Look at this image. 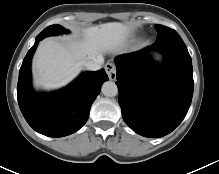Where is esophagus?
Masks as SVG:
<instances>
[{
	"label": "esophagus",
	"mask_w": 219,
	"mask_h": 174,
	"mask_svg": "<svg viewBox=\"0 0 219 174\" xmlns=\"http://www.w3.org/2000/svg\"><path fill=\"white\" fill-rule=\"evenodd\" d=\"M105 71H106L110 80L113 81L116 79V67L113 63L107 62L105 64Z\"/></svg>",
	"instance_id": "34e87169"
}]
</instances>
